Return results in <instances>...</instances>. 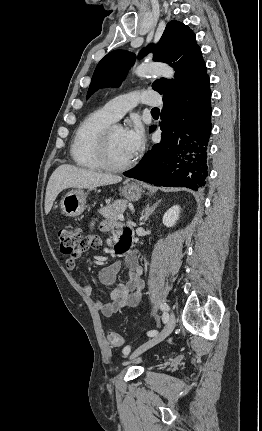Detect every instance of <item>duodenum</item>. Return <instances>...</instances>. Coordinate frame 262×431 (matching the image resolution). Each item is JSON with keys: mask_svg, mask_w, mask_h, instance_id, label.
I'll return each instance as SVG.
<instances>
[{"mask_svg": "<svg viewBox=\"0 0 262 431\" xmlns=\"http://www.w3.org/2000/svg\"><path fill=\"white\" fill-rule=\"evenodd\" d=\"M127 243H128V240L126 238L120 239V241L117 243L118 249L123 251Z\"/></svg>", "mask_w": 262, "mask_h": 431, "instance_id": "410a0bca", "label": "duodenum"}]
</instances>
